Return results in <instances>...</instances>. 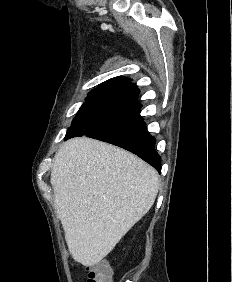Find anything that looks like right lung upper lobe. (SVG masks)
I'll list each match as a JSON object with an SVG mask.
<instances>
[{
  "instance_id": "right-lung-upper-lobe-1",
  "label": "right lung upper lobe",
  "mask_w": 232,
  "mask_h": 282,
  "mask_svg": "<svg viewBox=\"0 0 232 282\" xmlns=\"http://www.w3.org/2000/svg\"><path fill=\"white\" fill-rule=\"evenodd\" d=\"M108 91L139 92L137 86L131 83V79L125 77H116L100 84L96 89H93L90 93H100Z\"/></svg>"
}]
</instances>
